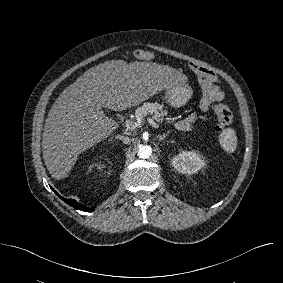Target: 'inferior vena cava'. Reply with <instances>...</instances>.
<instances>
[{"mask_svg": "<svg viewBox=\"0 0 283 283\" xmlns=\"http://www.w3.org/2000/svg\"><path fill=\"white\" fill-rule=\"evenodd\" d=\"M124 144H130L131 143V139L127 136H117Z\"/></svg>", "mask_w": 283, "mask_h": 283, "instance_id": "1", "label": "inferior vena cava"}]
</instances>
